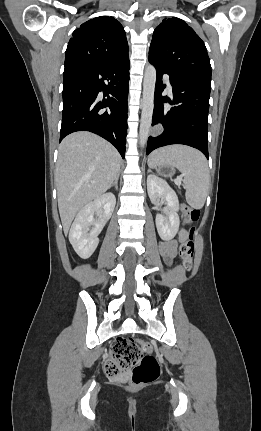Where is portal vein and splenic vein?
<instances>
[{
    "label": "portal vein and splenic vein",
    "instance_id": "18ae733b",
    "mask_svg": "<svg viewBox=\"0 0 261 431\" xmlns=\"http://www.w3.org/2000/svg\"><path fill=\"white\" fill-rule=\"evenodd\" d=\"M181 180H182V178H181V177H178L177 179H175V180H174V182H175V184H177V185H181Z\"/></svg>",
    "mask_w": 261,
    "mask_h": 431
}]
</instances>
